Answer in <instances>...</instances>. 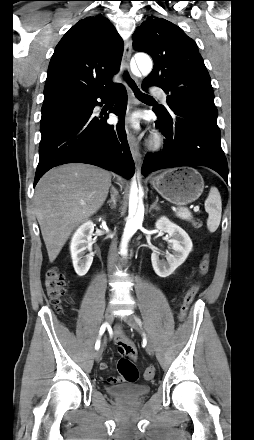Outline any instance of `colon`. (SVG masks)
Here are the masks:
<instances>
[{"label":"colon","instance_id":"5ec220e1","mask_svg":"<svg viewBox=\"0 0 254 440\" xmlns=\"http://www.w3.org/2000/svg\"><path fill=\"white\" fill-rule=\"evenodd\" d=\"M210 269V258L205 255L199 264V275L204 276ZM45 289L50 301L59 309V304L63 300L66 294V283L64 274L57 268H50L44 281ZM199 290V284H192L186 291L183 297V303L181 306V318L184 319L187 315L190 305L195 299ZM118 371L125 382L134 383L139 378V372L136 365L132 360L127 358L119 359L117 363ZM154 369L147 368L144 372V377L147 380H151L154 377Z\"/></svg>","mask_w":254,"mask_h":440}]
</instances>
